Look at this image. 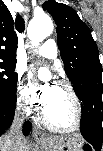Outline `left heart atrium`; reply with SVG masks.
<instances>
[{
	"label": "left heart atrium",
	"mask_w": 103,
	"mask_h": 151,
	"mask_svg": "<svg viewBox=\"0 0 103 151\" xmlns=\"http://www.w3.org/2000/svg\"><path fill=\"white\" fill-rule=\"evenodd\" d=\"M28 78H29V83H30L29 93L43 108L49 103L55 86L52 84H47L41 87L34 85L32 82L33 80L32 72L28 74Z\"/></svg>",
	"instance_id": "1"
}]
</instances>
